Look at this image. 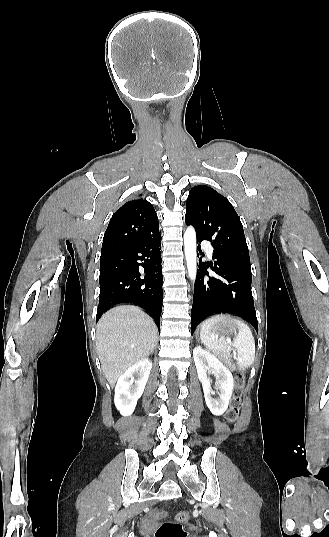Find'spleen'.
I'll return each instance as SVG.
<instances>
[{
    "instance_id": "3e777b00",
    "label": "spleen",
    "mask_w": 329,
    "mask_h": 537,
    "mask_svg": "<svg viewBox=\"0 0 329 537\" xmlns=\"http://www.w3.org/2000/svg\"><path fill=\"white\" fill-rule=\"evenodd\" d=\"M214 319H208L202 325L201 341L210 350L229 353L228 340L221 338L216 340L214 336L208 333V327ZM239 332L236 334L233 347L237 351V363L240 368H247L252 365L255 358V341L251 329L248 325L240 320L236 321Z\"/></svg>"
}]
</instances>
